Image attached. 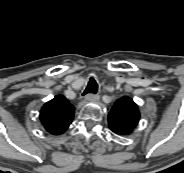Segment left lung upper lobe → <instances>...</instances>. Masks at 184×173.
Here are the masks:
<instances>
[{
    "label": "left lung upper lobe",
    "mask_w": 184,
    "mask_h": 173,
    "mask_svg": "<svg viewBox=\"0 0 184 173\" xmlns=\"http://www.w3.org/2000/svg\"><path fill=\"white\" fill-rule=\"evenodd\" d=\"M140 113L137 105L129 97L117 100L108 114L110 129L118 135H130L138 125Z\"/></svg>",
    "instance_id": "1"
}]
</instances>
